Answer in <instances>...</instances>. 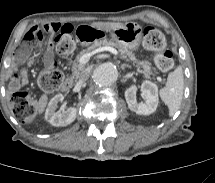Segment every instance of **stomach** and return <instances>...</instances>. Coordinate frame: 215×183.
Wrapping results in <instances>:
<instances>
[{"label":"stomach","mask_w":215,"mask_h":183,"mask_svg":"<svg viewBox=\"0 0 215 183\" xmlns=\"http://www.w3.org/2000/svg\"><path fill=\"white\" fill-rule=\"evenodd\" d=\"M111 39L129 50H138L142 29L138 24L126 23L123 27L109 31Z\"/></svg>","instance_id":"obj_1"}]
</instances>
